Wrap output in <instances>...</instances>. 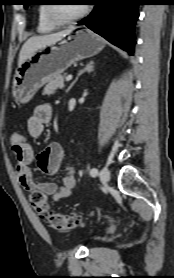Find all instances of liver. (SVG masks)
I'll return each instance as SVG.
<instances>
[{
  "label": "liver",
  "mask_w": 174,
  "mask_h": 278,
  "mask_svg": "<svg viewBox=\"0 0 174 278\" xmlns=\"http://www.w3.org/2000/svg\"><path fill=\"white\" fill-rule=\"evenodd\" d=\"M74 29H75L74 27H69L68 29L57 32V33L42 35V36H34V37L29 38L23 44V46L20 50L18 66L21 65L38 48H41L48 44L55 43L60 38L64 37L65 35L70 34Z\"/></svg>",
  "instance_id": "obj_1"
}]
</instances>
